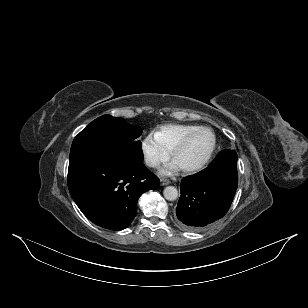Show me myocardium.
<instances>
[{
  "label": "myocardium",
  "mask_w": 308,
  "mask_h": 308,
  "mask_svg": "<svg viewBox=\"0 0 308 308\" xmlns=\"http://www.w3.org/2000/svg\"><path fill=\"white\" fill-rule=\"evenodd\" d=\"M203 131L209 132L212 135L213 143H212L211 149L208 152L207 156L204 158V160L201 161L199 164L191 166V167H187V168H182V171L185 174L197 173L203 170L210 163L217 149V136L215 132L209 127L200 126L194 129L193 131L189 132L188 134H186L171 151V157L174 160L176 155L180 153L188 145L191 139L196 134L203 132Z\"/></svg>",
  "instance_id": "obj_1"
}]
</instances>
